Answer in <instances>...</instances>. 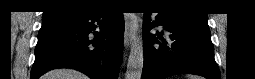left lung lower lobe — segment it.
<instances>
[{"label": "left lung lower lobe", "instance_id": "obj_1", "mask_svg": "<svg viewBox=\"0 0 255 79\" xmlns=\"http://www.w3.org/2000/svg\"><path fill=\"white\" fill-rule=\"evenodd\" d=\"M157 13L156 21L151 23L148 19L151 13H144V66L141 79H165L176 74L219 79L220 72L214 60L207 20L178 16L160 8ZM159 24L170 33V43L160 34L149 33Z\"/></svg>", "mask_w": 255, "mask_h": 79}]
</instances>
